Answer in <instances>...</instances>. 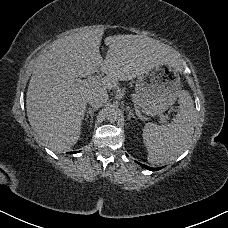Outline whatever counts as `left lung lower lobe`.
Here are the masks:
<instances>
[{
    "mask_svg": "<svg viewBox=\"0 0 228 228\" xmlns=\"http://www.w3.org/2000/svg\"><path fill=\"white\" fill-rule=\"evenodd\" d=\"M138 164L141 165L142 167L148 169V170H151V171H157V170H160V169H161V168H151V167H148V166L143 165V164H141V163H138Z\"/></svg>",
    "mask_w": 228,
    "mask_h": 228,
    "instance_id": "obj_1",
    "label": "left lung lower lobe"
}]
</instances>
